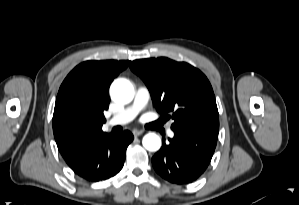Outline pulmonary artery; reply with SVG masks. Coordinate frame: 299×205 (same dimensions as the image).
Returning <instances> with one entry per match:
<instances>
[{
	"mask_svg": "<svg viewBox=\"0 0 299 205\" xmlns=\"http://www.w3.org/2000/svg\"><path fill=\"white\" fill-rule=\"evenodd\" d=\"M150 98L149 90L142 86L136 90L133 103L114 115L107 121L108 126L124 125L131 122L138 113L147 105ZM169 136H173V132L169 131Z\"/></svg>",
	"mask_w": 299,
	"mask_h": 205,
	"instance_id": "pulmonary-artery-1",
	"label": "pulmonary artery"
}]
</instances>
